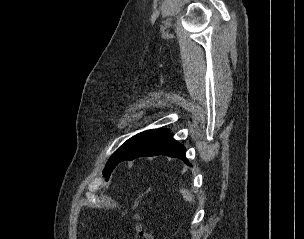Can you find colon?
<instances>
[{
    "instance_id": "colon-1",
    "label": "colon",
    "mask_w": 304,
    "mask_h": 239,
    "mask_svg": "<svg viewBox=\"0 0 304 239\" xmlns=\"http://www.w3.org/2000/svg\"><path fill=\"white\" fill-rule=\"evenodd\" d=\"M140 216L137 215V219L140 220ZM135 239H153L151 233L147 229L146 225L141 221H138L136 225Z\"/></svg>"
}]
</instances>
